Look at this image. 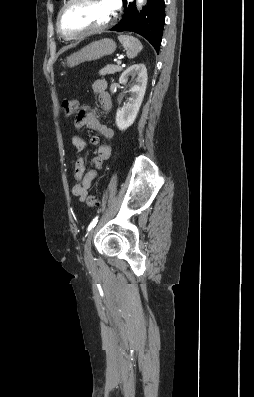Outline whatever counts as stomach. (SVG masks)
Here are the masks:
<instances>
[{
  "label": "stomach",
  "mask_w": 254,
  "mask_h": 397,
  "mask_svg": "<svg viewBox=\"0 0 254 397\" xmlns=\"http://www.w3.org/2000/svg\"><path fill=\"white\" fill-rule=\"evenodd\" d=\"M116 49V44L112 39L104 38L93 41L81 50L67 57V66L74 67L85 61L100 59L106 55L112 54Z\"/></svg>",
  "instance_id": "obj_1"
}]
</instances>
